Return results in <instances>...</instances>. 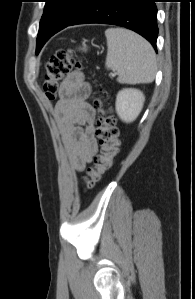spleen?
<instances>
[{
	"label": "spleen",
	"instance_id": "obj_1",
	"mask_svg": "<svg viewBox=\"0 0 195 299\" xmlns=\"http://www.w3.org/2000/svg\"><path fill=\"white\" fill-rule=\"evenodd\" d=\"M106 67L117 71L122 84L150 83L157 71L156 55L151 44L140 35L124 28H109Z\"/></svg>",
	"mask_w": 195,
	"mask_h": 299
}]
</instances>
